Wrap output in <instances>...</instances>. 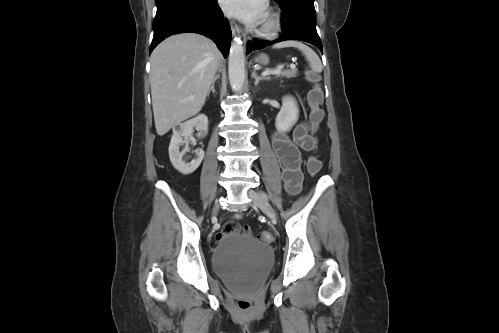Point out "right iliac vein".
<instances>
[{
	"instance_id": "right-iliac-vein-1",
	"label": "right iliac vein",
	"mask_w": 499,
	"mask_h": 333,
	"mask_svg": "<svg viewBox=\"0 0 499 333\" xmlns=\"http://www.w3.org/2000/svg\"><path fill=\"white\" fill-rule=\"evenodd\" d=\"M219 206H220L219 202H216V203H215V206H214V209H213V214H214V215L218 212V210H219Z\"/></svg>"
}]
</instances>
